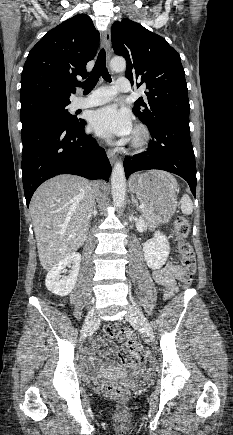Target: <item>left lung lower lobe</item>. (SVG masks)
Instances as JSON below:
<instances>
[{
	"label": "left lung lower lobe",
	"instance_id": "left-lung-lower-lobe-1",
	"mask_svg": "<svg viewBox=\"0 0 233 435\" xmlns=\"http://www.w3.org/2000/svg\"><path fill=\"white\" fill-rule=\"evenodd\" d=\"M152 140L147 151L136 159H124L125 175L140 170L159 169L185 179L195 197L196 164L189 122L165 123L149 128Z\"/></svg>",
	"mask_w": 233,
	"mask_h": 435
}]
</instances>
